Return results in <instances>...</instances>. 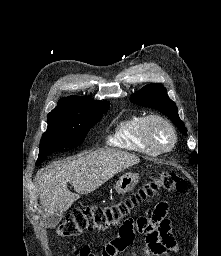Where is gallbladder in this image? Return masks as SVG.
Wrapping results in <instances>:
<instances>
[{
	"label": "gallbladder",
	"instance_id": "bac80fb5",
	"mask_svg": "<svg viewBox=\"0 0 221 256\" xmlns=\"http://www.w3.org/2000/svg\"><path fill=\"white\" fill-rule=\"evenodd\" d=\"M62 217H63L62 212H58L53 215H49L45 221L47 227H49V228L55 227L61 221Z\"/></svg>",
	"mask_w": 221,
	"mask_h": 256
}]
</instances>
